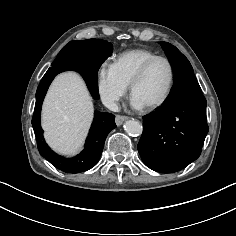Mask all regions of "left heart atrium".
<instances>
[{
    "mask_svg": "<svg viewBox=\"0 0 236 236\" xmlns=\"http://www.w3.org/2000/svg\"><path fill=\"white\" fill-rule=\"evenodd\" d=\"M132 105L135 107V108H142L144 105L136 98V97H132Z\"/></svg>",
    "mask_w": 236,
    "mask_h": 236,
    "instance_id": "1",
    "label": "left heart atrium"
}]
</instances>
